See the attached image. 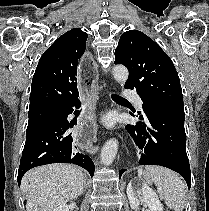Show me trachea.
I'll list each match as a JSON object with an SVG mask.
<instances>
[{
    "label": "trachea",
    "instance_id": "trachea-1",
    "mask_svg": "<svg viewBox=\"0 0 209 211\" xmlns=\"http://www.w3.org/2000/svg\"><path fill=\"white\" fill-rule=\"evenodd\" d=\"M112 99L117 100V101H127L126 99L122 98L121 96H118L115 94L112 95Z\"/></svg>",
    "mask_w": 209,
    "mask_h": 211
}]
</instances>
